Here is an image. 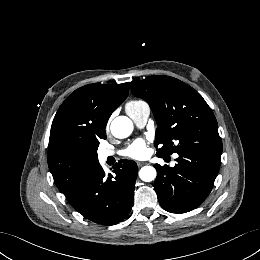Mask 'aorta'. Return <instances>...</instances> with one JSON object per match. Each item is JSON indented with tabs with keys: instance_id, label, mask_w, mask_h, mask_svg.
I'll return each instance as SVG.
<instances>
[{
	"instance_id": "aorta-1",
	"label": "aorta",
	"mask_w": 260,
	"mask_h": 260,
	"mask_svg": "<svg viewBox=\"0 0 260 260\" xmlns=\"http://www.w3.org/2000/svg\"><path fill=\"white\" fill-rule=\"evenodd\" d=\"M110 129L114 137L127 138L133 131V122L126 116H118L111 122ZM156 175L157 172L153 166H144L139 171V177L144 182L153 181Z\"/></svg>"
}]
</instances>
